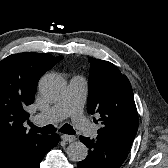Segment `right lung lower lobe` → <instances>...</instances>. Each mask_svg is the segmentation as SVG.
I'll return each instance as SVG.
<instances>
[{"mask_svg": "<svg viewBox=\"0 0 168 168\" xmlns=\"http://www.w3.org/2000/svg\"><path fill=\"white\" fill-rule=\"evenodd\" d=\"M59 142V136L53 134L47 138L39 146L35 147L25 156H23L13 168H39L40 162L45 154Z\"/></svg>", "mask_w": 168, "mask_h": 168, "instance_id": "obj_1", "label": "right lung lower lobe"}]
</instances>
